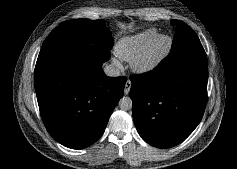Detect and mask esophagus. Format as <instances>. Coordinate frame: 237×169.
<instances>
[{
    "instance_id": "esophagus-1",
    "label": "esophagus",
    "mask_w": 237,
    "mask_h": 169,
    "mask_svg": "<svg viewBox=\"0 0 237 169\" xmlns=\"http://www.w3.org/2000/svg\"><path fill=\"white\" fill-rule=\"evenodd\" d=\"M130 87H131V81L127 80L125 83V89H124V93L125 95H128L130 92Z\"/></svg>"
}]
</instances>
